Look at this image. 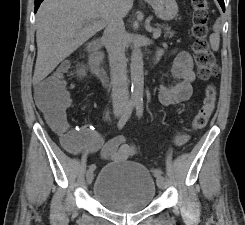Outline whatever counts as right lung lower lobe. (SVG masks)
<instances>
[{
    "instance_id": "right-lung-lower-lobe-1",
    "label": "right lung lower lobe",
    "mask_w": 245,
    "mask_h": 225,
    "mask_svg": "<svg viewBox=\"0 0 245 225\" xmlns=\"http://www.w3.org/2000/svg\"><path fill=\"white\" fill-rule=\"evenodd\" d=\"M43 0H35V11H37L38 7L40 6V3L42 2Z\"/></svg>"
}]
</instances>
